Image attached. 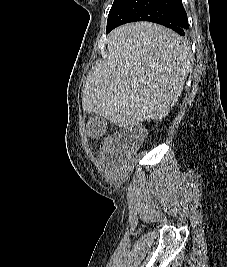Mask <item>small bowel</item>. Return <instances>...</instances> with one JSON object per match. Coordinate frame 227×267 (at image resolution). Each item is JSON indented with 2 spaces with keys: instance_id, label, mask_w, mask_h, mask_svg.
Returning a JSON list of instances; mask_svg holds the SVG:
<instances>
[{
  "instance_id": "1",
  "label": "small bowel",
  "mask_w": 227,
  "mask_h": 267,
  "mask_svg": "<svg viewBox=\"0 0 227 267\" xmlns=\"http://www.w3.org/2000/svg\"><path fill=\"white\" fill-rule=\"evenodd\" d=\"M114 152H115L114 140L109 139L102 146L101 156L102 158H108L112 156Z\"/></svg>"
}]
</instances>
